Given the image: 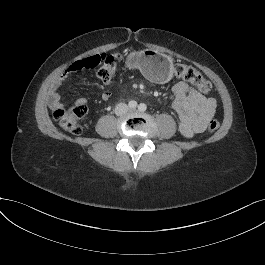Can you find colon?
<instances>
[{
  "mask_svg": "<svg viewBox=\"0 0 265 265\" xmlns=\"http://www.w3.org/2000/svg\"><path fill=\"white\" fill-rule=\"evenodd\" d=\"M122 57L120 54H96L74 62L68 68L67 72H75L82 69H91L99 67L98 77L103 82H109L116 74L118 65ZM174 74L178 78L187 80L196 85L202 93H208L211 90V84L207 81L199 71L195 68L178 64L174 68ZM87 113V107L83 104L75 105L69 108L57 107L54 110V118L59 125L72 134L81 133V125L79 120ZM220 124L217 120H211L208 124V131L214 132L219 128Z\"/></svg>",
  "mask_w": 265,
  "mask_h": 265,
  "instance_id": "colon-1",
  "label": "colon"
}]
</instances>
